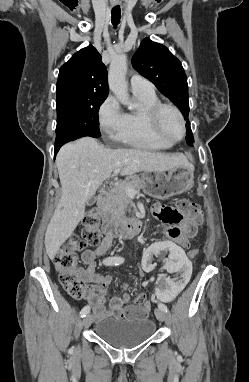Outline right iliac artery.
Here are the masks:
<instances>
[{
	"mask_svg": "<svg viewBox=\"0 0 249 382\" xmlns=\"http://www.w3.org/2000/svg\"><path fill=\"white\" fill-rule=\"evenodd\" d=\"M124 259L122 257H108L103 262L105 265H119L123 263ZM90 312V306H85L81 312V317H85Z\"/></svg>",
	"mask_w": 249,
	"mask_h": 382,
	"instance_id": "1",
	"label": "right iliac artery"
}]
</instances>
